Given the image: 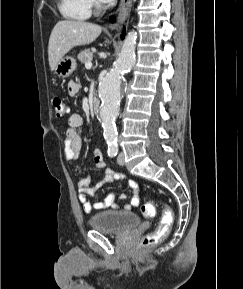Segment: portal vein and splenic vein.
I'll return each instance as SVG.
<instances>
[{"mask_svg": "<svg viewBox=\"0 0 243 289\" xmlns=\"http://www.w3.org/2000/svg\"><path fill=\"white\" fill-rule=\"evenodd\" d=\"M85 67H86V69H91L92 68V62L91 61L86 62Z\"/></svg>", "mask_w": 243, "mask_h": 289, "instance_id": "1", "label": "portal vein and splenic vein"}]
</instances>
